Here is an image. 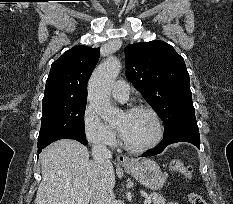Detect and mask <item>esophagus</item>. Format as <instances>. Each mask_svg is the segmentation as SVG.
<instances>
[{"mask_svg": "<svg viewBox=\"0 0 233 204\" xmlns=\"http://www.w3.org/2000/svg\"><path fill=\"white\" fill-rule=\"evenodd\" d=\"M117 161L120 165L122 166H128L132 164V160L130 157L126 156V155H119L117 157Z\"/></svg>", "mask_w": 233, "mask_h": 204, "instance_id": "34e87169", "label": "esophagus"}]
</instances>
